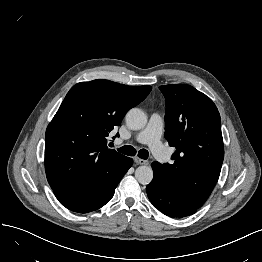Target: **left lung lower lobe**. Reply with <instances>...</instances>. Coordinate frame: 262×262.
Wrapping results in <instances>:
<instances>
[{
  "label": "left lung lower lobe",
  "instance_id": "1",
  "mask_svg": "<svg viewBox=\"0 0 262 262\" xmlns=\"http://www.w3.org/2000/svg\"><path fill=\"white\" fill-rule=\"evenodd\" d=\"M154 178L147 186L149 200L159 211L172 218H183L194 214L198 208L189 204L166 182L160 163L153 162Z\"/></svg>",
  "mask_w": 262,
  "mask_h": 262
}]
</instances>
